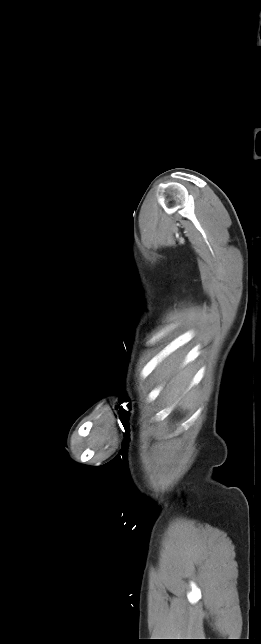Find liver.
Returning a JSON list of instances; mask_svg holds the SVG:
<instances>
[{"label": "liver", "instance_id": "liver-1", "mask_svg": "<svg viewBox=\"0 0 261 644\" xmlns=\"http://www.w3.org/2000/svg\"><path fill=\"white\" fill-rule=\"evenodd\" d=\"M183 361V354H172L157 368L156 375L158 381L165 385L162 391L165 400L169 403L180 400L179 405L186 408L193 403L195 392H187L193 372L190 366L182 365Z\"/></svg>", "mask_w": 261, "mask_h": 644}]
</instances>
